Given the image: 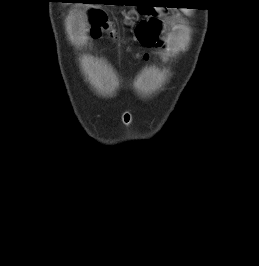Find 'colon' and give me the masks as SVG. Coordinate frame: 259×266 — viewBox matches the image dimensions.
I'll list each match as a JSON object with an SVG mask.
<instances>
[{
  "label": "colon",
  "instance_id": "5ec220e1",
  "mask_svg": "<svg viewBox=\"0 0 259 266\" xmlns=\"http://www.w3.org/2000/svg\"><path fill=\"white\" fill-rule=\"evenodd\" d=\"M90 21L91 34L93 37H100L102 35H106L111 39L118 38L112 23L108 20L105 13L101 11H95L91 13ZM158 30V21L154 19H149L138 27L137 34L139 39L143 43L147 45H152L155 43V34L158 32Z\"/></svg>",
  "mask_w": 259,
  "mask_h": 266
}]
</instances>
